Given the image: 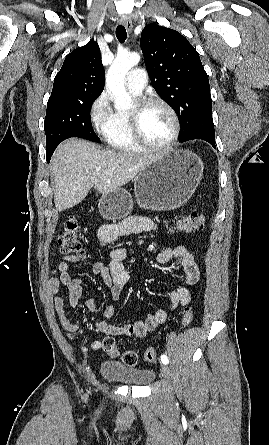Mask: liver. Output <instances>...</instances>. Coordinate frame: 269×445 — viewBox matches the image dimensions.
Listing matches in <instances>:
<instances>
[{
	"instance_id": "obj_1",
	"label": "liver",
	"mask_w": 269,
	"mask_h": 445,
	"mask_svg": "<svg viewBox=\"0 0 269 445\" xmlns=\"http://www.w3.org/2000/svg\"><path fill=\"white\" fill-rule=\"evenodd\" d=\"M156 157L102 150L80 139L64 141L53 154L51 165L56 209L61 212L79 204L92 187L101 194L120 188Z\"/></svg>"
}]
</instances>
